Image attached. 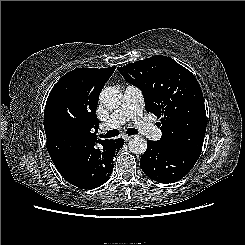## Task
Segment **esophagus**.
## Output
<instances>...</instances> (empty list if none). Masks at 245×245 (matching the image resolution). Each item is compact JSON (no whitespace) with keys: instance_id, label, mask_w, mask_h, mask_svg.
Instances as JSON below:
<instances>
[{"instance_id":"obj_1","label":"esophagus","mask_w":245,"mask_h":245,"mask_svg":"<svg viewBox=\"0 0 245 245\" xmlns=\"http://www.w3.org/2000/svg\"><path fill=\"white\" fill-rule=\"evenodd\" d=\"M134 136H132V135H127V134H123L122 135V138L125 140V141H128V140H130V139H132Z\"/></svg>"}]
</instances>
